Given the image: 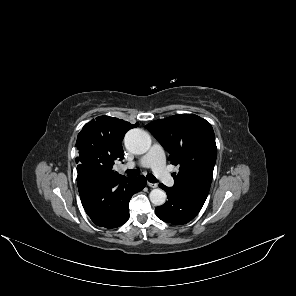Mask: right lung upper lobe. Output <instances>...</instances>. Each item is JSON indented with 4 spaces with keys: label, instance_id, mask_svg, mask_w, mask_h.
Masks as SVG:
<instances>
[{
    "label": "right lung upper lobe",
    "instance_id": "cb5924a9",
    "mask_svg": "<svg viewBox=\"0 0 296 296\" xmlns=\"http://www.w3.org/2000/svg\"><path fill=\"white\" fill-rule=\"evenodd\" d=\"M138 125V123L130 124L110 116H99L91 120L78 134L76 146L79 156L76 158V163L79 164L78 160L83 153L92 151L97 153L100 158V177L108 179L122 177L113 171L112 167L116 160L124 158L121 141L125 133Z\"/></svg>",
    "mask_w": 296,
    "mask_h": 296
}]
</instances>
